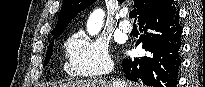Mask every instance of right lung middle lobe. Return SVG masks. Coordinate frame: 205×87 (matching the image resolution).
Listing matches in <instances>:
<instances>
[{
    "mask_svg": "<svg viewBox=\"0 0 205 87\" xmlns=\"http://www.w3.org/2000/svg\"><path fill=\"white\" fill-rule=\"evenodd\" d=\"M52 51H53V42L52 44L49 46L48 50H47V55H46V58H45V63H44V66L48 63V61L50 60V57L52 55Z\"/></svg>",
    "mask_w": 205,
    "mask_h": 87,
    "instance_id": "dd1d6c3e",
    "label": "right lung middle lobe"
}]
</instances>
